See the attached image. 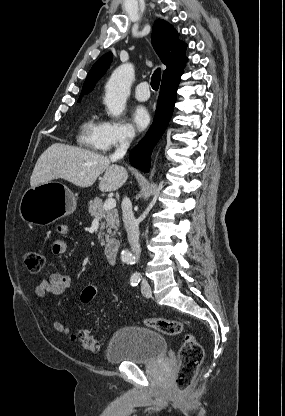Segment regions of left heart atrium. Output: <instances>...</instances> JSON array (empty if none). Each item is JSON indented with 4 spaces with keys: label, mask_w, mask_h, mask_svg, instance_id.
<instances>
[{
    "label": "left heart atrium",
    "mask_w": 285,
    "mask_h": 416,
    "mask_svg": "<svg viewBox=\"0 0 285 416\" xmlns=\"http://www.w3.org/2000/svg\"><path fill=\"white\" fill-rule=\"evenodd\" d=\"M132 121L137 129H144L149 123V114L142 106H137L132 112Z\"/></svg>",
    "instance_id": "1"
}]
</instances>
